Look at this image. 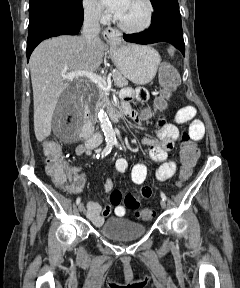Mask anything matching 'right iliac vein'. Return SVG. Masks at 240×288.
<instances>
[{"label":"right iliac vein","mask_w":240,"mask_h":288,"mask_svg":"<svg viewBox=\"0 0 240 288\" xmlns=\"http://www.w3.org/2000/svg\"><path fill=\"white\" fill-rule=\"evenodd\" d=\"M78 209H79L80 212H83L84 211V204L80 203L79 206H78Z\"/></svg>","instance_id":"obj_1"}]
</instances>
